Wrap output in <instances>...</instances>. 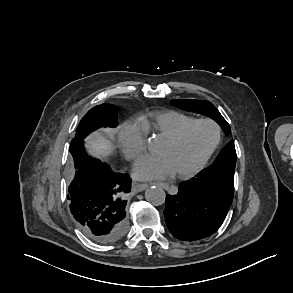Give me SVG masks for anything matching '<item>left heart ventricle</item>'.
Here are the masks:
<instances>
[{
    "mask_svg": "<svg viewBox=\"0 0 293 293\" xmlns=\"http://www.w3.org/2000/svg\"><path fill=\"white\" fill-rule=\"evenodd\" d=\"M214 138L215 129L211 125L197 124L175 143L163 140L158 153L168 158L175 173L187 172L204 156Z\"/></svg>",
    "mask_w": 293,
    "mask_h": 293,
    "instance_id": "b2bd125f",
    "label": "left heart ventricle"
}]
</instances>
